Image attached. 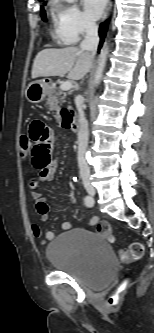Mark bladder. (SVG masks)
Wrapping results in <instances>:
<instances>
[{"mask_svg": "<svg viewBox=\"0 0 154 333\" xmlns=\"http://www.w3.org/2000/svg\"><path fill=\"white\" fill-rule=\"evenodd\" d=\"M45 257L56 270L99 285L106 284L115 269L113 250L106 238L83 227L58 234L47 245Z\"/></svg>", "mask_w": 154, "mask_h": 333, "instance_id": "bladder-1", "label": "bladder"}]
</instances>
